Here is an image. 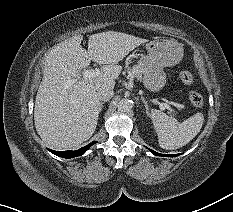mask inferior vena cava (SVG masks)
I'll return each mask as SVG.
<instances>
[{
  "label": "inferior vena cava",
  "instance_id": "inferior-vena-cava-1",
  "mask_svg": "<svg viewBox=\"0 0 233 212\" xmlns=\"http://www.w3.org/2000/svg\"><path fill=\"white\" fill-rule=\"evenodd\" d=\"M113 94H114L113 88L108 85H102L96 91V95L98 99L101 101L110 100Z\"/></svg>",
  "mask_w": 233,
  "mask_h": 212
}]
</instances>
